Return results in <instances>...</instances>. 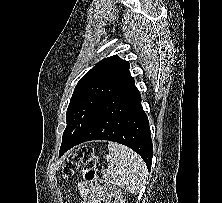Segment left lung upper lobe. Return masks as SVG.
Returning <instances> with one entry per match:
<instances>
[{"label":"left lung upper lobe","mask_w":222,"mask_h":203,"mask_svg":"<svg viewBox=\"0 0 222 203\" xmlns=\"http://www.w3.org/2000/svg\"><path fill=\"white\" fill-rule=\"evenodd\" d=\"M131 78L129 62L117 55L98 62L77 83L67 112L61 146L72 142L104 101Z\"/></svg>","instance_id":"left-lung-upper-lobe-1"}]
</instances>
